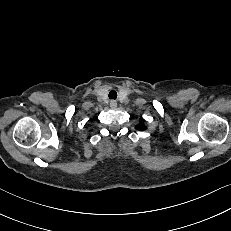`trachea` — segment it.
<instances>
[{
	"mask_svg": "<svg viewBox=\"0 0 231 231\" xmlns=\"http://www.w3.org/2000/svg\"><path fill=\"white\" fill-rule=\"evenodd\" d=\"M108 96H109L110 99H116L117 98V92L112 90V91L109 92Z\"/></svg>",
	"mask_w": 231,
	"mask_h": 231,
	"instance_id": "trachea-1",
	"label": "trachea"
}]
</instances>
